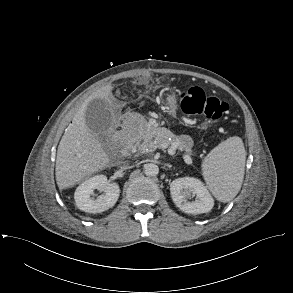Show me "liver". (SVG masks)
Masks as SVG:
<instances>
[{
	"instance_id": "liver-1",
	"label": "liver",
	"mask_w": 293,
	"mask_h": 293,
	"mask_svg": "<svg viewBox=\"0 0 293 293\" xmlns=\"http://www.w3.org/2000/svg\"><path fill=\"white\" fill-rule=\"evenodd\" d=\"M112 89V86H105L96 91L90 100L104 99L110 102ZM86 106L74 116L58 146L55 175L59 189L73 187L85 177L105 169L110 161L86 125Z\"/></svg>"
}]
</instances>
